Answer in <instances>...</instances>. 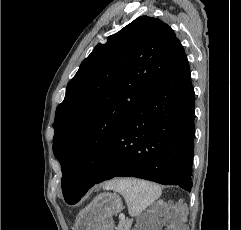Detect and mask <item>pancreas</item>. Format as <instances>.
<instances>
[{
  "mask_svg": "<svg viewBox=\"0 0 241 230\" xmlns=\"http://www.w3.org/2000/svg\"><path fill=\"white\" fill-rule=\"evenodd\" d=\"M131 226V222L130 221H120L117 230H129Z\"/></svg>",
  "mask_w": 241,
  "mask_h": 230,
  "instance_id": "pancreas-1",
  "label": "pancreas"
}]
</instances>
